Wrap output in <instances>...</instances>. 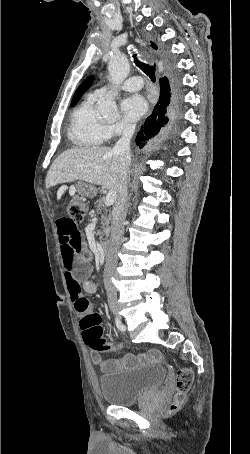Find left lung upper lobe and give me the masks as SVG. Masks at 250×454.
<instances>
[{
  "instance_id": "obj_1",
  "label": "left lung upper lobe",
  "mask_w": 250,
  "mask_h": 454,
  "mask_svg": "<svg viewBox=\"0 0 250 454\" xmlns=\"http://www.w3.org/2000/svg\"><path fill=\"white\" fill-rule=\"evenodd\" d=\"M92 81H93V76H90L78 87V89L76 90V92L73 96L71 106H73L77 103V101L84 94V92L90 87V85L92 84Z\"/></svg>"
}]
</instances>
